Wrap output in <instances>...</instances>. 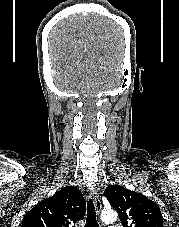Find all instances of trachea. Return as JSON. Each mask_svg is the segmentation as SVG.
I'll list each match as a JSON object with an SVG mask.
<instances>
[{"label": "trachea", "mask_w": 179, "mask_h": 227, "mask_svg": "<svg viewBox=\"0 0 179 227\" xmlns=\"http://www.w3.org/2000/svg\"><path fill=\"white\" fill-rule=\"evenodd\" d=\"M85 227H99V224L96 220V211L92 199H89L87 202V218Z\"/></svg>", "instance_id": "obj_1"}]
</instances>
